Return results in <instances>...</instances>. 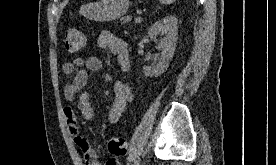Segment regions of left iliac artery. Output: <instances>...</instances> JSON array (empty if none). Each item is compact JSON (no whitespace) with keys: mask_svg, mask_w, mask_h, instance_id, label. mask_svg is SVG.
Returning <instances> with one entry per match:
<instances>
[{"mask_svg":"<svg viewBox=\"0 0 276 165\" xmlns=\"http://www.w3.org/2000/svg\"><path fill=\"white\" fill-rule=\"evenodd\" d=\"M133 165H139V163H138V162H135Z\"/></svg>","mask_w":276,"mask_h":165,"instance_id":"left-iliac-artery-1","label":"left iliac artery"}]
</instances>
